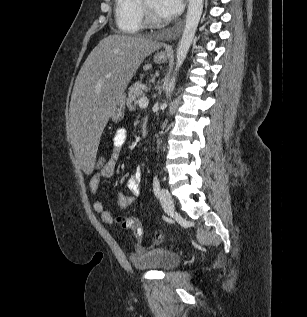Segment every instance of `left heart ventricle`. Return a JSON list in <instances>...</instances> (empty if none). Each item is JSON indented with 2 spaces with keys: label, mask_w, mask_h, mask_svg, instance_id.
<instances>
[{
  "label": "left heart ventricle",
  "mask_w": 307,
  "mask_h": 317,
  "mask_svg": "<svg viewBox=\"0 0 307 317\" xmlns=\"http://www.w3.org/2000/svg\"><path fill=\"white\" fill-rule=\"evenodd\" d=\"M147 5L151 8L154 15L160 19H162L161 15L156 11V0H146Z\"/></svg>",
  "instance_id": "obj_1"
}]
</instances>
